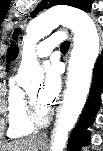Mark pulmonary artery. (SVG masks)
<instances>
[{"label":"pulmonary artery","mask_w":103,"mask_h":151,"mask_svg":"<svg viewBox=\"0 0 103 151\" xmlns=\"http://www.w3.org/2000/svg\"><path fill=\"white\" fill-rule=\"evenodd\" d=\"M65 35L62 32H56L48 38L42 40L36 48V56L39 58L47 57L55 46L63 42Z\"/></svg>","instance_id":"e3ab8cb5"}]
</instances>
